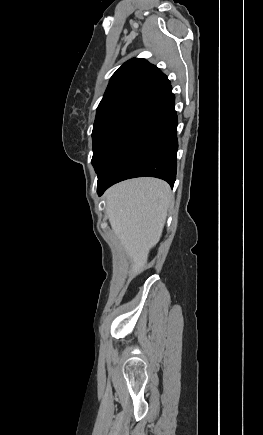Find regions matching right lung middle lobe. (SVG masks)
<instances>
[{"instance_id": "dd1d6c3e", "label": "right lung middle lobe", "mask_w": 263, "mask_h": 435, "mask_svg": "<svg viewBox=\"0 0 263 435\" xmlns=\"http://www.w3.org/2000/svg\"><path fill=\"white\" fill-rule=\"evenodd\" d=\"M142 107L143 104L138 103H118L97 108L92 132V164L97 174L105 166L123 132Z\"/></svg>"}]
</instances>
